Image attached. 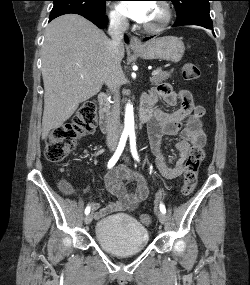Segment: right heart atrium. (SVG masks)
I'll return each instance as SVG.
<instances>
[{"label":"right heart atrium","mask_w":250,"mask_h":285,"mask_svg":"<svg viewBox=\"0 0 250 285\" xmlns=\"http://www.w3.org/2000/svg\"><path fill=\"white\" fill-rule=\"evenodd\" d=\"M109 19L111 24L115 27L123 28L127 25L126 17L121 8L117 5L111 7L109 11Z\"/></svg>","instance_id":"obj_1"}]
</instances>
